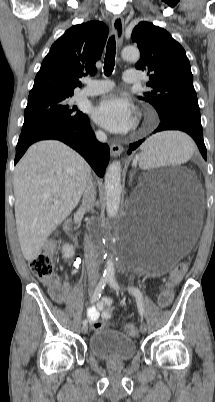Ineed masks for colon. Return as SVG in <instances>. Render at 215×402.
Returning a JSON list of instances; mask_svg holds the SVG:
<instances>
[{
    "label": "colon",
    "instance_id": "obj_1",
    "mask_svg": "<svg viewBox=\"0 0 215 402\" xmlns=\"http://www.w3.org/2000/svg\"><path fill=\"white\" fill-rule=\"evenodd\" d=\"M55 247V242L50 241L44 247L43 250L30 261V269L33 274L43 283L51 286V296L56 301H62L64 297L63 288L59 283L54 281V263L52 259V252ZM187 264H179L171 274L172 282H178L186 271ZM172 283H168L166 288L162 290L158 297V303L161 307H168L172 301L171 292ZM103 324L100 321L94 323L95 328H101ZM125 333L131 337H135L138 334V328L133 323L125 325Z\"/></svg>",
    "mask_w": 215,
    "mask_h": 402
}]
</instances>
